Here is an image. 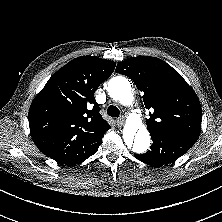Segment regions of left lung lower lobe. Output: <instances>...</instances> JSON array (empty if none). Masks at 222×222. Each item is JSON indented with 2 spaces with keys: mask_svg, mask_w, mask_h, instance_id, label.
Returning a JSON list of instances; mask_svg holds the SVG:
<instances>
[{
  "mask_svg": "<svg viewBox=\"0 0 222 222\" xmlns=\"http://www.w3.org/2000/svg\"><path fill=\"white\" fill-rule=\"evenodd\" d=\"M153 144L145 154L134 156L151 166L170 164L186 153L196 142L195 139L166 132H151Z\"/></svg>",
  "mask_w": 222,
  "mask_h": 222,
  "instance_id": "left-lung-lower-lobe-1",
  "label": "left lung lower lobe"
}]
</instances>
